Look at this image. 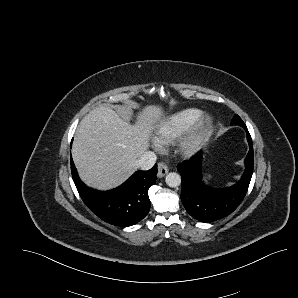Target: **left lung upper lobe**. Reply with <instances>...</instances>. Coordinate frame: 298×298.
<instances>
[{
    "label": "left lung upper lobe",
    "instance_id": "1",
    "mask_svg": "<svg viewBox=\"0 0 298 298\" xmlns=\"http://www.w3.org/2000/svg\"><path fill=\"white\" fill-rule=\"evenodd\" d=\"M232 125H243L244 122L241 120V118L238 115H235L231 121Z\"/></svg>",
    "mask_w": 298,
    "mask_h": 298
}]
</instances>
